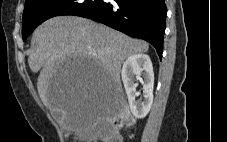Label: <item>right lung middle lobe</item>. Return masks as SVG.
Masks as SVG:
<instances>
[{
    "mask_svg": "<svg viewBox=\"0 0 227 142\" xmlns=\"http://www.w3.org/2000/svg\"><path fill=\"white\" fill-rule=\"evenodd\" d=\"M103 0H28L22 18V38H26L45 20L60 15H78Z\"/></svg>",
    "mask_w": 227,
    "mask_h": 142,
    "instance_id": "dd1d6c3e",
    "label": "right lung middle lobe"
}]
</instances>
